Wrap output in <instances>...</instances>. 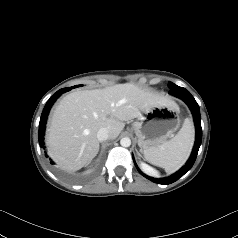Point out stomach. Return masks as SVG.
I'll list each match as a JSON object with an SVG mask.
<instances>
[{"mask_svg":"<svg viewBox=\"0 0 238 238\" xmlns=\"http://www.w3.org/2000/svg\"><path fill=\"white\" fill-rule=\"evenodd\" d=\"M143 113L144 115L133 123L138 145L143 150L163 144L180 126L177 105H157Z\"/></svg>","mask_w":238,"mask_h":238,"instance_id":"obj_1","label":"stomach"}]
</instances>
